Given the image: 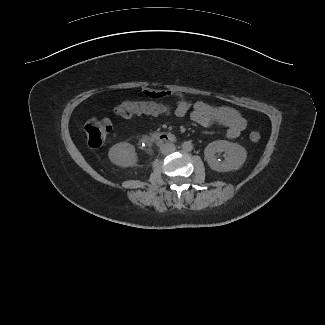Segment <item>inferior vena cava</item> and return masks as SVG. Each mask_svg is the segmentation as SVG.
Instances as JSON below:
<instances>
[{"instance_id":"obj_1","label":"inferior vena cava","mask_w":325,"mask_h":325,"mask_svg":"<svg viewBox=\"0 0 325 325\" xmlns=\"http://www.w3.org/2000/svg\"><path fill=\"white\" fill-rule=\"evenodd\" d=\"M176 149L175 145L172 143H165L161 146L160 151L162 154L167 155L174 152Z\"/></svg>"}]
</instances>
